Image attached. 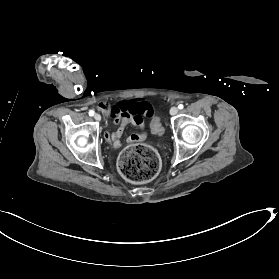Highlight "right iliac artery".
Masks as SVG:
<instances>
[{
    "mask_svg": "<svg viewBox=\"0 0 279 279\" xmlns=\"http://www.w3.org/2000/svg\"><path fill=\"white\" fill-rule=\"evenodd\" d=\"M89 115H90V116H93V115H94V112H93V111H89Z\"/></svg>",
    "mask_w": 279,
    "mask_h": 279,
    "instance_id": "obj_1",
    "label": "right iliac artery"
}]
</instances>
